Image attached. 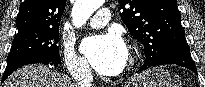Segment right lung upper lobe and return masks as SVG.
<instances>
[{
    "mask_svg": "<svg viewBox=\"0 0 205 87\" xmlns=\"http://www.w3.org/2000/svg\"><path fill=\"white\" fill-rule=\"evenodd\" d=\"M66 0H24L16 19L19 31L59 28Z\"/></svg>",
    "mask_w": 205,
    "mask_h": 87,
    "instance_id": "1",
    "label": "right lung upper lobe"
}]
</instances>
